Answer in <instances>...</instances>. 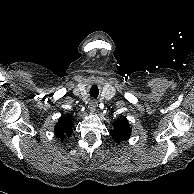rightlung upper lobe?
<instances>
[{"label":"right lung upper lobe","mask_w":194,"mask_h":194,"mask_svg":"<svg viewBox=\"0 0 194 194\" xmlns=\"http://www.w3.org/2000/svg\"><path fill=\"white\" fill-rule=\"evenodd\" d=\"M73 119L69 116H61L55 125V135L61 140L66 139L72 134Z\"/></svg>","instance_id":"1"}]
</instances>
